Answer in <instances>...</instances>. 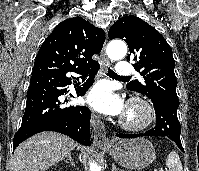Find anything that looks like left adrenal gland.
Here are the masks:
<instances>
[{
    "label": "left adrenal gland",
    "mask_w": 199,
    "mask_h": 171,
    "mask_svg": "<svg viewBox=\"0 0 199 171\" xmlns=\"http://www.w3.org/2000/svg\"><path fill=\"white\" fill-rule=\"evenodd\" d=\"M111 171H120L114 163H112V170Z\"/></svg>",
    "instance_id": "1"
}]
</instances>
